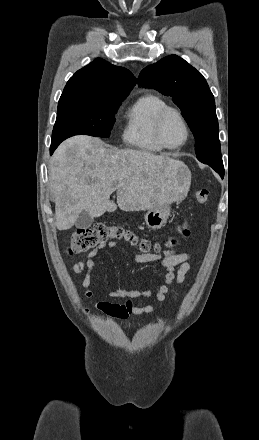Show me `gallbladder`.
I'll use <instances>...</instances> for the list:
<instances>
[{
    "instance_id": "bac80fb5",
    "label": "gallbladder",
    "mask_w": 259,
    "mask_h": 440,
    "mask_svg": "<svg viewBox=\"0 0 259 440\" xmlns=\"http://www.w3.org/2000/svg\"><path fill=\"white\" fill-rule=\"evenodd\" d=\"M93 221H94V218L89 213H87L86 211L83 210L78 215L76 222H75V226H76V228H79V229H88L89 227H91Z\"/></svg>"
}]
</instances>
